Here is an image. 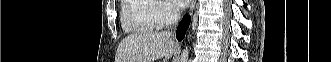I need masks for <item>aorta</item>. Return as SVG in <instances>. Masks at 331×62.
I'll return each instance as SVG.
<instances>
[{
    "label": "aorta",
    "mask_w": 331,
    "mask_h": 62,
    "mask_svg": "<svg viewBox=\"0 0 331 62\" xmlns=\"http://www.w3.org/2000/svg\"><path fill=\"white\" fill-rule=\"evenodd\" d=\"M188 58H189V51H188V48L186 47L182 54H181V62H188Z\"/></svg>",
    "instance_id": "aorta-1"
}]
</instances>
